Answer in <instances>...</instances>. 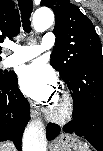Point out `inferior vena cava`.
<instances>
[{
	"label": "inferior vena cava",
	"instance_id": "inferior-vena-cava-1",
	"mask_svg": "<svg viewBox=\"0 0 103 151\" xmlns=\"http://www.w3.org/2000/svg\"><path fill=\"white\" fill-rule=\"evenodd\" d=\"M8 144H12L11 142H6L4 145L7 146ZM13 145V144H12Z\"/></svg>",
	"mask_w": 103,
	"mask_h": 151
}]
</instances>
